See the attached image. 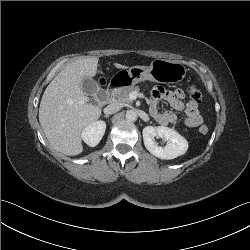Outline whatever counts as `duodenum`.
<instances>
[{"instance_id":"obj_1","label":"duodenum","mask_w":250,"mask_h":250,"mask_svg":"<svg viewBox=\"0 0 250 250\" xmlns=\"http://www.w3.org/2000/svg\"><path fill=\"white\" fill-rule=\"evenodd\" d=\"M120 85L118 80H113L109 83L103 94V102L109 103L112 100L113 93L115 89Z\"/></svg>"}]
</instances>
